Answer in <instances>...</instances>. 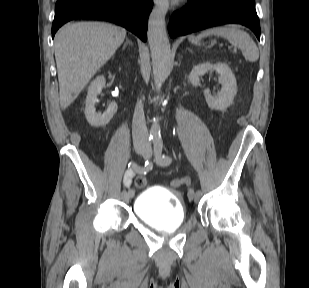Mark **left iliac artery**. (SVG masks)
Listing matches in <instances>:
<instances>
[{"label": "left iliac artery", "instance_id": "1", "mask_svg": "<svg viewBox=\"0 0 309 288\" xmlns=\"http://www.w3.org/2000/svg\"><path fill=\"white\" fill-rule=\"evenodd\" d=\"M162 149H163L162 138H160V137L156 138L154 140V152H155L156 163L158 165L167 166L171 163L172 159H171L170 156L163 154ZM191 190H193V189H190L189 191H191ZM193 194H194V190H193ZM195 195L201 197L202 192L200 190H198Z\"/></svg>", "mask_w": 309, "mask_h": 288}]
</instances>
